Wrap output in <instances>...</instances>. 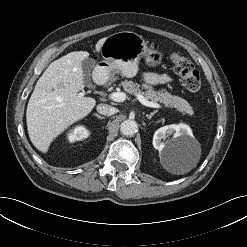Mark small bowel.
I'll return each mask as SVG.
<instances>
[{"mask_svg":"<svg viewBox=\"0 0 247 247\" xmlns=\"http://www.w3.org/2000/svg\"><path fill=\"white\" fill-rule=\"evenodd\" d=\"M143 80L147 87H151L156 84L166 83L169 81V78L166 75H161L154 72H147L143 75Z\"/></svg>","mask_w":247,"mask_h":247,"instance_id":"c3829d8e","label":"small bowel"}]
</instances>
